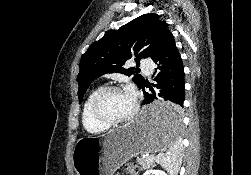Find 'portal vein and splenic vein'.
Here are the masks:
<instances>
[{"label": "portal vein and splenic vein", "instance_id": "18ae733b", "mask_svg": "<svg viewBox=\"0 0 251 175\" xmlns=\"http://www.w3.org/2000/svg\"><path fill=\"white\" fill-rule=\"evenodd\" d=\"M141 157H142V158H147V157H148V154H147V153H142V154H141Z\"/></svg>", "mask_w": 251, "mask_h": 175}]
</instances>
